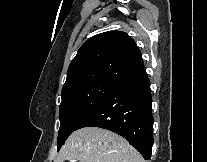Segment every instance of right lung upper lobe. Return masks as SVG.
Masks as SVG:
<instances>
[{
  "mask_svg": "<svg viewBox=\"0 0 207 162\" xmlns=\"http://www.w3.org/2000/svg\"><path fill=\"white\" fill-rule=\"evenodd\" d=\"M143 69L141 53L131 37L121 31L101 33L79 49L62 93L95 84L116 86Z\"/></svg>",
  "mask_w": 207,
  "mask_h": 162,
  "instance_id": "right-lung-upper-lobe-1",
  "label": "right lung upper lobe"
}]
</instances>
